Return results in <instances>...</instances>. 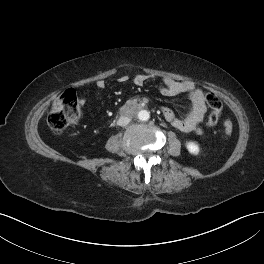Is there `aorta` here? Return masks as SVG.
<instances>
[{"label": "aorta", "instance_id": "obj_1", "mask_svg": "<svg viewBox=\"0 0 264 264\" xmlns=\"http://www.w3.org/2000/svg\"><path fill=\"white\" fill-rule=\"evenodd\" d=\"M136 117L139 121H147L150 118V113L147 110H140Z\"/></svg>", "mask_w": 264, "mask_h": 264}]
</instances>
